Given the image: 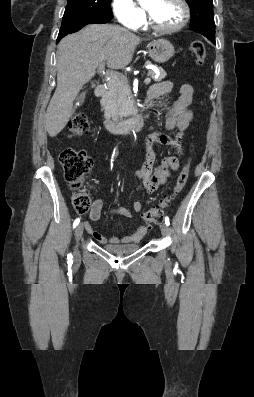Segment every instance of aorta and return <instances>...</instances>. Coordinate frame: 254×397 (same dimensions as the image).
Instances as JSON below:
<instances>
[{
	"instance_id": "1",
	"label": "aorta",
	"mask_w": 254,
	"mask_h": 397,
	"mask_svg": "<svg viewBox=\"0 0 254 397\" xmlns=\"http://www.w3.org/2000/svg\"><path fill=\"white\" fill-rule=\"evenodd\" d=\"M138 1L142 3V2H144L145 0H138Z\"/></svg>"
}]
</instances>
